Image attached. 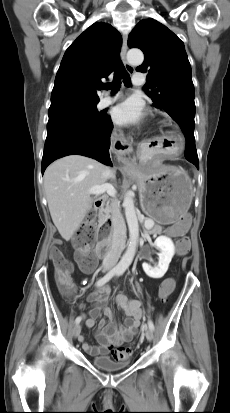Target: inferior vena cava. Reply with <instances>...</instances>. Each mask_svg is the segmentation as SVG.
<instances>
[{
  "mask_svg": "<svg viewBox=\"0 0 230 413\" xmlns=\"http://www.w3.org/2000/svg\"><path fill=\"white\" fill-rule=\"evenodd\" d=\"M115 172L106 168L103 176L107 179L114 177ZM111 222L113 228V238L111 247L103 260L105 270L111 269L117 262L125 246L126 225L120 213L119 205L112 203Z\"/></svg>",
  "mask_w": 230,
  "mask_h": 413,
  "instance_id": "602c4592",
  "label": "inferior vena cava"
}]
</instances>
